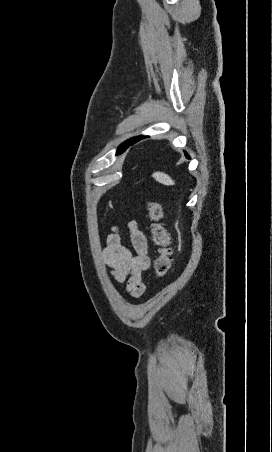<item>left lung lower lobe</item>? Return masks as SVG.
I'll return each instance as SVG.
<instances>
[{"label": "left lung lower lobe", "instance_id": "left-lung-lower-lobe-1", "mask_svg": "<svg viewBox=\"0 0 272 452\" xmlns=\"http://www.w3.org/2000/svg\"><path fill=\"white\" fill-rule=\"evenodd\" d=\"M140 139V137H136V138H132L131 140H129V143L127 144V148L130 146V145H133L134 143H136L138 140ZM122 146V145H121ZM120 146V147H121ZM120 147H119V149H118V151H117V154H119V153H122V152H124L126 149H120ZM187 155V154H186Z\"/></svg>", "mask_w": 272, "mask_h": 452}]
</instances>
